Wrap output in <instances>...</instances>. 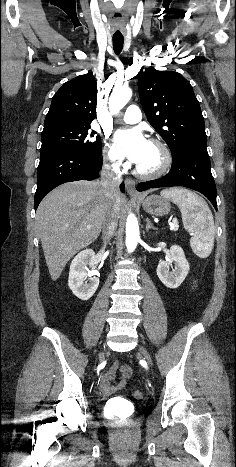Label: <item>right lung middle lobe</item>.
I'll use <instances>...</instances> for the list:
<instances>
[{
  "label": "right lung middle lobe",
  "mask_w": 236,
  "mask_h": 467,
  "mask_svg": "<svg viewBox=\"0 0 236 467\" xmlns=\"http://www.w3.org/2000/svg\"><path fill=\"white\" fill-rule=\"evenodd\" d=\"M90 125H58L43 129L40 154L56 149H72L101 156V139L93 138Z\"/></svg>",
  "instance_id": "dd1d6c3e"
}]
</instances>
